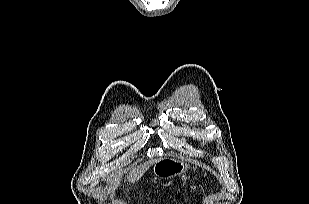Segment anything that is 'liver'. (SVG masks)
<instances>
[{
	"instance_id": "6515ba94",
	"label": "liver",
	"mask_w": 309,
	"mask_h": 204,
	"mask_svg": "<svg viewBox=\"0 0 309 204\" xmlns=\"http://www.w3.org/2000/svg\"><path fill=\"white\" fill-rule=\"evenodd\" d=\"M147 168V166H143L140 170H134V171H131L129 173V175H127V181L129 183H134L136 181V179L142 175V173L145 171V169Z\"/></svg>"
}]
</instances>
